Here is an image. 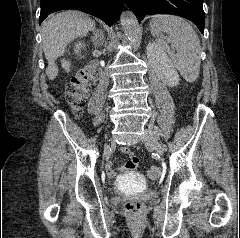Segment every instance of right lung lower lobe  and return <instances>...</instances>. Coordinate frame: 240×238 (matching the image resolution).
<instances>
[{
	"label": "right lung lower lobe",
	"instance_id": "1",
	"mask_svg": "<svg viewBox=\"0 0 240 238\" xmlns=\"http://www.w3.org/2000/svg\"><path fill=\"white\" fill-rule=\"evenodd\" d=\"M122 0H41L39 23L59 10L78 9L102 19L111 26L122 11Z\"/></svg>",
	"mask_w": 240,
	"mask_h": 238
}]
</instances>
